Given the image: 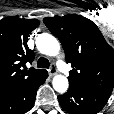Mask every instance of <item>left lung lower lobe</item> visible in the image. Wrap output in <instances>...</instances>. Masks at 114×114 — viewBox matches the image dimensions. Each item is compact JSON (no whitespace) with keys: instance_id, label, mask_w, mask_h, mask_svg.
Masks as SVG:
<instances>
[{"instance_id":"left-lung-lower-lobe-1","label":"left lung lower lobe","mask_w":114,"mask_h":114,"mask_svg":"<svg viewBox=\"0 0 114 114\" xmlns=\"http://www.w3.org/2000/svg\"><path fill=\"white\" fill-rule=\"evenodd\" d=\"M109 97V94L101 91L70 85L65 94L58 96V101L71 114H97Z\"/></svg>"}]
</instances>
